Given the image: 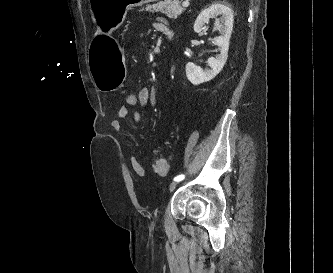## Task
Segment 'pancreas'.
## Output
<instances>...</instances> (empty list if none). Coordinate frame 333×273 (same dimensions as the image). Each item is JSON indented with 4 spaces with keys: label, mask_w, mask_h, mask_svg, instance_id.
Wrapping results in <instances>:
<instances>
[{
    "label": "pancreas",
    "mask_w": 333,
    "mask_h": 273,
    "mask_svg": "<svg viewBox=\"0 0 333 273\" xmlns=\"http://www.w3.org/2000/svg\"><path fill=\"white\" fill-rule=\"evenodd\" d=\"M179 0H164L158 1L155 4L148 5L145 10L150 12H161L166 14L169 18L176 19L182 14L184 8L181 7Z\"/></svg>",
    "instance_id": "1"
}]
</instances>
